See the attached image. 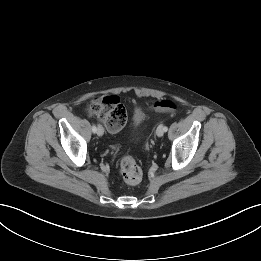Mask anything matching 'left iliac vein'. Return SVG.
<instances>
[{"mask_svg":"<svg viewBox=\"0 0 261 261\" xmlns=\"http://www.w3.org/2000/svg\"><path fill=\"white\" fill-rule=\"evenodd\" d=\"M164 132H165L164 131V126L163 125H159L157 127V130H156L157 136H159V137L163 136Z\"/></svg>","mask_w":261,"mask_h":261,"instance_id":"4c4485c4","label":"left iliac vein"}]
</instances>
